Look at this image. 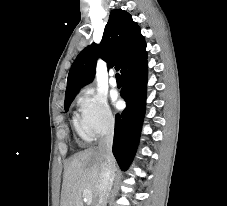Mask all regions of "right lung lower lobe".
I'll return each mask as SVG.
<instances>
[{
    "label": "right lung lower lobe",
    "mask_w": 227,
    "mask_h": 206,
    "mask_svg": "<svg viewBox=\"0 0 227 206\" xmlns=\"http://www.w3.org/2000/svg\"><path fill=\"white\" fill-rule=\"evenodd\" d=\"M121 96L127 107L115 116L113 154L118 165L126 171L132 161L142 128L147 87V57L122 74Z\"/></svg>",
    "instance_id": "1"
}]
</instances>
